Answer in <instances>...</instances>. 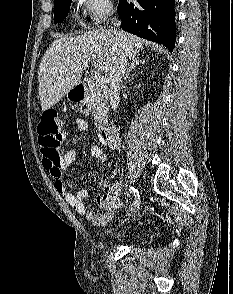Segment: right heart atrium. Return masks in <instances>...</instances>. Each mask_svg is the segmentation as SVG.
Wrapping results in <instances>:
<instances>
[{"mask_svg":"<svg viewBox=\"0 0 233 294\" xmlns=\"http://www.w3.org/2000/svg\"><path fill=\"white\" fill-rule=\"evenodd\" d=\"M81 18L88 24L99 26L114 12L111 0H76Z\"/></svg>","mask_w":233,"mask_h":294,"instance_id":"d8ad5b80","label":"right heart atrium"}]
</instances>
